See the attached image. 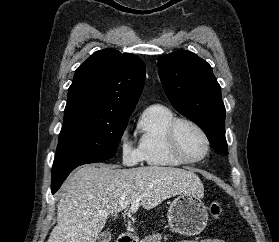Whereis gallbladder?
<instances>
[{
	"label": "gallbladder",
	"instance_id": "obj_1",
	"mask_svg": "<svg viewBox=\"0 0 279 242\" xmlns=\"http://www.w3.org/2000/svg\"><path fill=\"white\" fill-rule=\"evenodd\" d=\"M111 232L110 231H104L102 232L99 237L98 240L99 242H109L111 239Z\"/></svg>",
	"mask_w": 279,
	"mask_h": 242
}]
</instances>
